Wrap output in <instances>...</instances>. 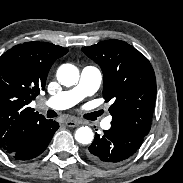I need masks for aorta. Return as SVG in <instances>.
<instances>
[{"mask_svg":"<svg viewBox=\"0 0 183 183\" xmlns=\"http://www.w3.org/2000/svg\"><path fill=\"white\" fill-rule=\"evenodd\" d=\"M57 80L63 86H73L79 81V70L72 64H63L57 70ZM93 131L85 126L75 132V139L81 144H90L93 141Z\"/></svg>","mask_w":183,"mask_h":183,"instance_id":"1","label":"aorta"}]
</instances>
